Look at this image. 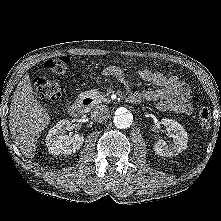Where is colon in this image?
Wrapping results in <instances>:
<instances>
[{
	"label": "colon",
	"mask_w": 221,
	"mask_h": 221,
	"mask_svg": "<svg viewBox=\"0 0 221 221\" xmlns=\"http://www.w3.org/2000/svg\"><path fill=\"white\" fill-rule=\"evenodd\" d=\"M70 60L66 56L50 58L44 61V68L55 74L62 75L66 72ZM34 87L39 98L45 100H58L62 96L61 86L53 79L39 75L34 79ZM198 122L201 130L208 131L211 128V112L207 107L198 110Z\"/></svg>",
	"instance_id": "obj_1"
}]
</instances>
